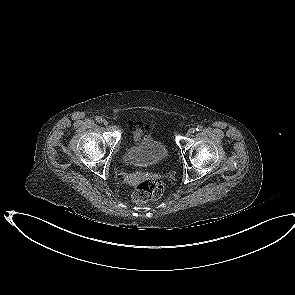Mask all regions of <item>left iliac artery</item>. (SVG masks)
I'll use <instances>...</instances> for the list:
<instances>
[{
  "label": "left iliac artery",
  "mask_w": 295,
  "mask_h": 295,
  "mask_svg": "<svg viewBox=\"0 0 295 295\" xmlns=\"http://www.w3.org/2000/svg\"><path fill=\"white\" fill-rule=\"evenodd\" d=\"M203 129V127L201 126V125H198L197 127H196V131H201Z\"/></svg>",
  "instance_id": "1"
}]
</instances>
